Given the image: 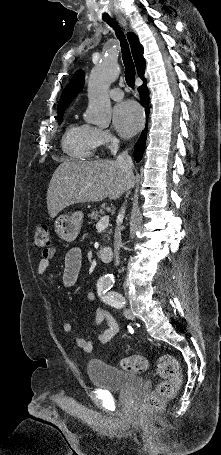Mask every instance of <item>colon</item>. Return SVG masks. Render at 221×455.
<instances>
[{
  "mask_svg": "<svg viewBox=\"0 0 221 455\" xmlns=\"http://www.w3.org/2000/svg\"><path fill=\"white\" fill-rule=\"evenodd\" d=\"M33 243L37 248H50L52 235L47 226L41 225L36 228ZM122 367L132 373H141L148 368V362L141 355H130L122 360ZM156 370L163 380L143 402V408L148 411L161 410L174 397L182 382L178 360L172 355L159 356Z\"/></svg>",
  "mask_w": 221,
  "mask_h": 455,
  "instance_id": "1",
  "label": "colon"
}]
</instances>
